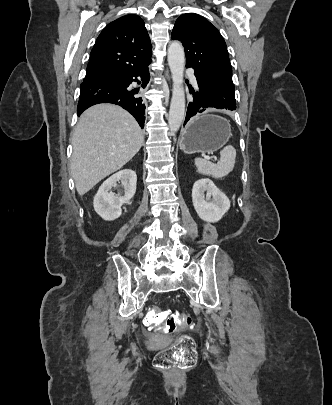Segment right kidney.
<instances>
[{"label": "right kidney", "instance_id": "ca27d5eb", "mask_svg": "<svg viewBox=\"0 0 332 405\" xmlns=\"http://www.w3.org/2000/svg\"><path fill=\"white\" fill-rule=\"evenodd\" d=\"M121 182L124 188L123 194H115L111 191ZM137 175L130 169L117 172L109 177L99 188L94 197L93 206L95 212L106 221L119 218L122 214L121 206L133 198L136 192Z\"/></svg>", "mask_w": 332, "mask_h": 405}]
</instances>
